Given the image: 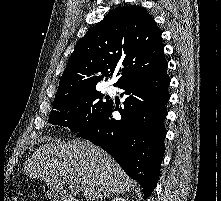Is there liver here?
Listing matches in <instances>:
<instances>
[{
	"label": "liver",
	"instance_id": "obj_1",
	"mask_svg": "<svg viewBox=\"0 0 221 201\" xmlns=\"http://www.w3.org/2000/svg\"><path fill=\"white\" fill-rule=\"evenodd\" d=\"M25 163V173L62 188L67 180H79L87 201L130 190L134 182L104 150L88 141L68 143L48 139Z\"/></svg>",
	"mask_w": 221,
	"mask_h": 201
}]
</instances>
